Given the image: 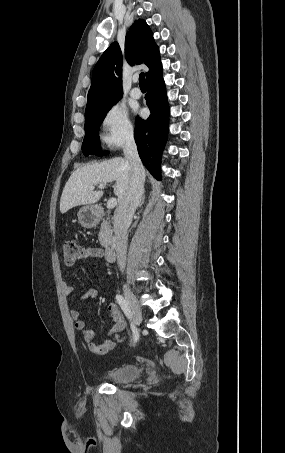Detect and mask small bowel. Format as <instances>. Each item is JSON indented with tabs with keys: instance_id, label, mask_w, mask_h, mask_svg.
<instances>
[{
	"instance_id": "1",
	"label": "small bowel",
	"mask_w": 285,
	"mask_h": 453,
	"mask_svg": "<svg viewBox=\"0 0 285 453\" xmlns=\"http://www.w3.org/2000/svg\"><path fill=\"white\" fill-rule=\"evenodd\" d=\"M81 257L85 260L100 259L103 257V251L100 248L96 247H85L82 249ZM64 292L69 296L74 292V287L70 284H66L64 287ZM97 297L98 291L96 289L88 290L79 298L78 308L80 307L81 302L85 299H95ZM107 310L113 320V325L109 329L107 334L112 335L123 331L126 326V322L118 306L115 303H109ZM71 318L74 322L75 329L81 334L83 342L90 352L94 354L104 355L115 347L116 343L112 339H107L102 342L94 341V334L90 329L86 327L79 309H74L71 311Z\"/></svg>"
}]
</instances>
